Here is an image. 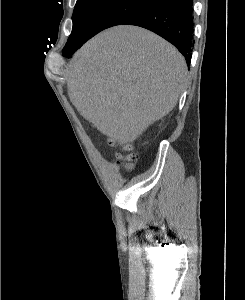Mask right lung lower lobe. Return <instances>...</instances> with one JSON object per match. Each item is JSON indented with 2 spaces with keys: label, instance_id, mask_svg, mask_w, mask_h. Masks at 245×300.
<instances>
[{
  "label": "right lung lower lobe",
  "instance_id": "98d812e1",
  "mask_svg": "<svg viewBox=\"0 0 245 300\" xmlns=\"http://www.w3.org/2000/svg\"><path fill=\"white\" fill-rule=\"evenodd\" d=\"M193 0H157L150 7L124 22L146 28L172 43L185 57L191 60L193 46ZM82 45L63 52L70 58Z\"/></svg>",
  "mask_w": 245,
  "mask_h": 300
}]
</instances>
